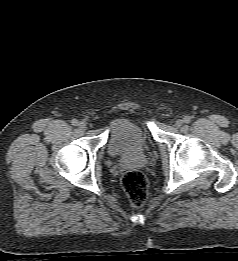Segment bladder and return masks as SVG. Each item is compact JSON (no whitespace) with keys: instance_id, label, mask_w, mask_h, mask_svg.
<instances>
[{"instance_id":"31cf9c89","label":"bladder","mask_w":238,"mask_h":261,"mask_svg":"<svg viewBox=\"0 0 238 261\" xmlns=\"http://www.w3.org/2000/svg\"><path fill=\"white\" fill-rule=\"evenodd\" d=\"M151 139L145 129L128 118H118L110 125L106 149L110 156H135L148 151Z\"/></svg>"}]
</instances>
